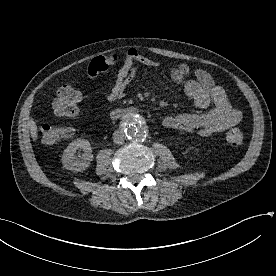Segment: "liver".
Masks as SVG:
<instances>
[{
  "label": "liver",
  "instance_id": "liver-1",
  "mask_svg": "<svg viewBox=\"0 0 276 276\" xmlns=\"http://www.w3.org/2000/svg\"><path fill=\"white\" fill-rule=\"evenodd\" d=\"M29 129H30L31 136L33 137V140L36 141L38 136V128L35 121L30 120Z\"/></svg>",
  "mask_w": 276,
  "mask_h": 276
}]
</instances>
